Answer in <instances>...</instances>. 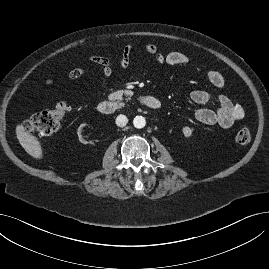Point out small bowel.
I'll return each mask as SVG.
<instances>
[{"mask_svg": "<svg viewBox=\"0 0 269 269\" xmlns=\"http://www.w3.org/2000/svg\"><path fill=\"white\" fill-rule=\"evenodd\" d=\"M143 54L158 64H168L173 66H183L189 63L186 55L179 51L162 53L154 43H150L143 49ZM133 46L126 44L123 46L121 54L115 59L104 56L91 55L89 60L100 66L102 70V78L100 86H104L110 79L115 65L126 68L132 63ZM87 73V69L76 67L69 71L68 75L71 79H78ZM208 81L216 88L225 86V78L218 71H209L207 73ZM213 95L207 91L196 90L191 92L190 100L196 105H205L213 100ZM218 108H200L195 113L198 122L205 125H217L222 128H229L235 122L241 120L245 116V109L242 105L235 104L224 94L217 96Z\"/></svg>", "mask_w": 269, "mask_h": 269, "instance_id": "small-bowel-1", "label": "small bowel"}]
</instances>
